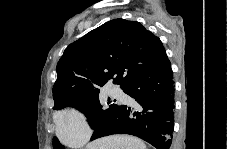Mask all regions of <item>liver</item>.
<instances>
[{
    "mask_svg": "<svg viewBox=\"0 0 227 149\" xmlns=\"http://www.w3.org/2000/svg\"><path fill=\"white\" fill-rule=\"evenodd\" d=\"M86 149H146V145L137 137L112 135L89 143Z\"/></svg>",
    "mask_w": 227,
    "mask_h": 149,
    "instance_id": "obj_1",
    "label": "liver"
}]
</instances>
